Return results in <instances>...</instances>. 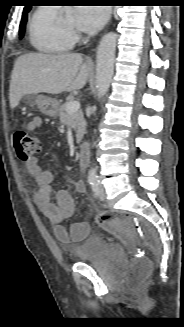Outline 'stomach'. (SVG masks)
<instances>
[{
    "label": "stomach",
    "mask_w": 184,
    "mask_h": 327,
    "mask_svg": "<svg viewBox=\"0 0 184 327\" xmlns=\"http://www.w3.org/2000/svg\"><path fill=\"white\" fill-rule=\"evenodd\" d=\"M25 100L35 103L39 110L46 116L56 117L58 115L59 102L54 98L37 95L35 97L26 96Z\"/></svg>",
    "instance_id": "0dacf381"
}]
</instances>
